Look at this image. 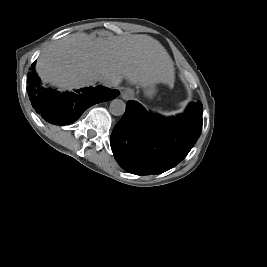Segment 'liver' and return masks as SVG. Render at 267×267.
I'll return each mask as SVG.
<instances>
[{
	"instance_id": "6515ba94",
	"label": "liver",
	"mask_w": 267,
	"mask_h": 267,
	"mask_svg": "<svg viewBox=\"0 0 267 267\" xmlns=\"http://www.w3.org/2000/svg\"><path fill=\"white\" fill-rule=\"evenodd\" d=\"M36 71L44 82L63 89L93 85L102 75L141 87L174 81L166 49L145 34L95 39L86 33L67 35L42 51Z\"/></svg>"
}]
</instances>
